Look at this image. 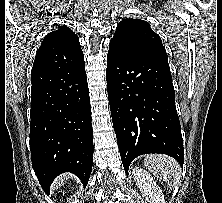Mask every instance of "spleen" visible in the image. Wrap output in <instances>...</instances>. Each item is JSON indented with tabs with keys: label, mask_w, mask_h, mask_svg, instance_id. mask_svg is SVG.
Returning <instances> with one entry per match:
<instances>
[{
	"label": "spleen",
	"mask_w": 222,
	"mask_h": 203,
	"mask_svg": "<svg viewBox=\"0 0 222 203\" xmlns=\"http://www.w3.org/2000/svg\"><path fill=\"white\" fill-rule=\"evenodd\" d=\"M144 164L157 178H161L170 189L179 185L181 168L178 162L164 154H149L145 156Z\"/></svg>",
	"instance_id": "obj_1"
}]
</instances>
